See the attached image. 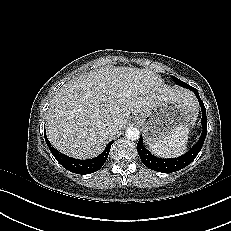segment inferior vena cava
Here are the masks:
<instances>
[{"label":"inferior vena cava","mask_w":231,"mask_h":231,"mask_svg":"<svg viewBox=\"0 0 231 231\" xmlns=\"http://www.w3.org/2000/svg\"><path fill=\"white\" fill-rule=\"evenodd\" d=\"M107 130L110 133L116 134L117 126L116 125H110Z\"/></svg>","instance_id":"1"}]
</instances>
